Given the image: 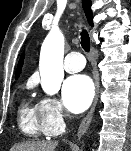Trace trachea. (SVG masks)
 <instances>
[{"instance_id": "obj_1", "label": "trachea", "mask_w": 131, "mask_h": 151, "mask_svg": "<svg viewBox=\"0 0 131 151\" xmlns=\"http://www.w3.org/2000/svg\"><path fill=\"white\" fill-rule=\"evenodd\" d=\"M81 46L86 52L90 51V38L86 30L81 32Z\"/></svg>"}]
</instances>
